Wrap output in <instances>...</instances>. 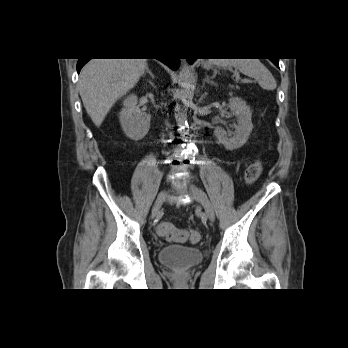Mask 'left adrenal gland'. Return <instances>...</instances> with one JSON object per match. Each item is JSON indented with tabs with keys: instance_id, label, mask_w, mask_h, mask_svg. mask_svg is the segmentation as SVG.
Wrapping results in <instances>:
<instances>
[{
	"instance_id": "left-adrenal-gland-1",
	"label": "left adrenal gland",
	"mask_w": 348,
	"mask_h": 348,
	"mask_svg": "<svg viewBox=\"0 0 348 348\" xmlns=\"http://www.w3.org/2000/svg\"><path fill=\"white\" fill-rule=\"evenodd\" d=\"M205 83L214 84V81L211 80V78L208 75H206L205 79L203 80V86L205 85Z\"/></svg>"
}]
</instances>
